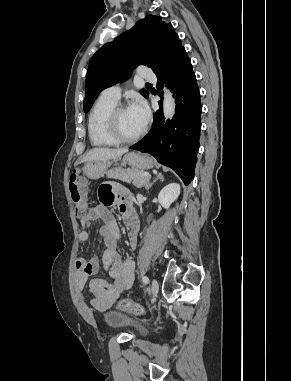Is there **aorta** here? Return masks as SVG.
Here are the masks:
<instances>
[{
    "label": "aorta",
    "mask_w": 291,
    "mask_h": 381,
    "mask_svg": "<svg viewBox=\"0 0 291 381\" xmlns=\"http://www.w3.org/2000/svg\"><path fill=\"white\" fill-rule=\"evenodd\" d=\"M175 100L168 89L164 90L163 96V113L166 119H171L175 114Z\"/></svg>",
    "instance_id": "1"
}]
</instances>
